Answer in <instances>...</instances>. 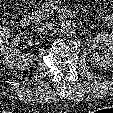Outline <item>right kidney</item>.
<instances>
[{
    "label": "right kidney",
    "mask_w": 113,
    "mask_h": 113,
    "mask_svg": "<svg viewBox=\"0 0 113 113\" xmlns=\"http://www.w3.org/2000/svg\"><path fill=\"white\" fill-rule=\"evenodd\" d=\"M27 41V36L23 34H17L13 40L11 41L8 50L4 55V63L15 69L24 70L30 68V66L34 63L35 57L30 53L19 54L17 46L20 41Z\"/></svg>",
    "instance_id": "1"
}]
</instances>
